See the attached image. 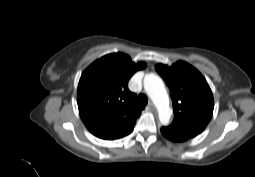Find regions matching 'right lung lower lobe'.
Returning a JSON list of instances; mask_svg holds the SVG:
<instances>
[{"label":"right lung lower lobe","instance_id":"98d812e1","mask_svg":"<svg viewBox=\"0 0 255 177\" xmlns=\"http://www.w3.org/2000/svg\"><path fill=\"white\" fill-rule=\"evenodd\" d=\"M134 125H135V124H134ZM134 125H132V126L129 127L128 129H126L123 133H121L120 135L116 136V137L113 138V139H119V138H122V137H124V136L130 134V133L132 132L133 128H134ZM113 139H111V140H113Z\"/></svg>","mask_w":255,"mask_h":177}]
</instances>
